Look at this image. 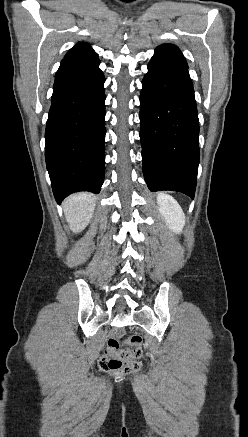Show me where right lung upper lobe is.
I'll list each match as a JSON object with an SVG mask.
<instances>
[{
	"label": "right lung upper lobe",
	"instance_id": "cb5924a9",
	"mask_svg": "<svg viewBox=\"0 0 248 437\" xmlns=\"http://www.w3.org/2000/svg\"><path fill=\"white\" fill-rule=\"evenodd\" d=\"M93 56L97 55L95 51L91 48V46L88 43L80 42L68 51L63 60L74 58L81 59Z\"/></svg>",
	"mask_w": 248,
	"mask_h": 437
}]
</instances>
